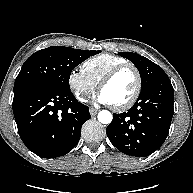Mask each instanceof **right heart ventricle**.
Returning <instances> with one entry per match:
<instances>
[{
  "label": "right heart ventricle",
  "instance_id": "e07e8e85",
  "mask_svg": "<svg viewBox=\"0 0 193 193\" xmlns=\"http://www.w3.org/2000/svg\"><path fill=\"white\" fill-rule=\"evenodd\" d=\"M125 63L129 61L121 56L103 53L86 59L82 63L81 71L94 85H98L109 71Z\"/></svg>",
  "mask_w": 193,
  "mask_h": 193
}]
</instances>
